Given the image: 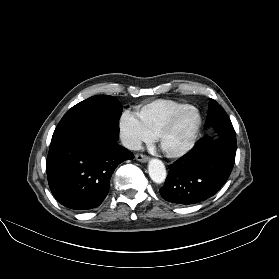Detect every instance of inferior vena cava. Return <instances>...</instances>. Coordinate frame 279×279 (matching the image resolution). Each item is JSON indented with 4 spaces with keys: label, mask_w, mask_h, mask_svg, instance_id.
Returning <instances> with one entry per match:
<instances>
[{
    "label": "inferior vena cava",
    "mask_w": 279,
    "mask_h": 279,
    "mask_svg": "<svg viewBox=\"0 0 279 279\" xmlns=\"http://www.w3.org/2000/svg\"><path fill=\"white\" fill-rule=\"evenodd\" d=\"M121 141L124 147H126L127 149L140 150L142 148L141 141L134 137L123 136Z\"/></svg>",
    "instance_id": "obj_1"
}]
</instances>
